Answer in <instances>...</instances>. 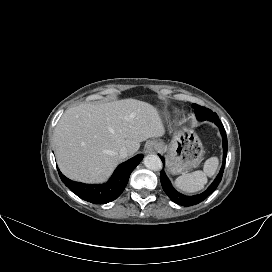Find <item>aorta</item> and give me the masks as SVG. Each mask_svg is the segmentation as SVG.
Listing matches in <instances>:
<instances>
[{
  "instance_id": "aorta-1",
  "label": "aorta",
  "mask_w": 272,
  "mask_h": 272,
  "mask_svg": "<svg viewBox=\"0 0 272 272\" xmlns=\"http://www.w3.org/2000/svg\"><path fill=\"white\" fill-rule=\"evenodd\" d=\"M143 162L144 165L152 171H159L162 168L161 159L157 155H147Z\"/></svg>"
}]
</instances>
